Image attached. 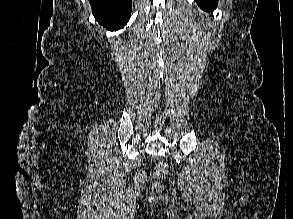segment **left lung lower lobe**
Masks as SVG:
<instances>
[{"label": "left lung lower lobe", "mask_w": 293, "mask_h": 219, "mask_svg": "<svg viewBox=\"0 0 293 219\" xmlns=\"http://www.w3.org/2000/svg\"><path fill=\"white\" fill-rule=\"evenodd\" d=\"M197 4L204 10V11H213L217 5L218 0H195Z\"/></svg>", "instance_id": "1"}]
</instances>
